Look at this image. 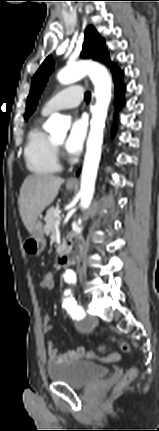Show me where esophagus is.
<instances>
[{
    "label": "esophagus",
    "instance_id": "34e87169",
    "mask_svg": "<svg viewBox=\"0 0 159 431\" xmlns=\"http://www.w3.org/2000/svg\"><path fill=\"white\" fill-rule=\"evenodd\" d=\"M67 183H68V184H77V183H78V180H77V178H75V177H70V178L67 180Z\"/></svg>",
    "mask_w": 159,
    "mask_h": 431
}]
</instances>
